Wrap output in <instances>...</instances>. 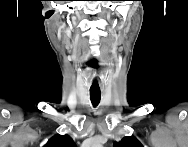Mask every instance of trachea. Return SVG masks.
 Here are the masks:
<instances>
[{
  "label": "trachea",
  "mask_w": 188,
  "mask_h": 147,
  "mask_svg": "<svg viewBox=\"0 0 188 147\" xmlns=\"http://www.w3.org/2000/svg\"><path fill=\"white\" fill-rule=\"evenodd\" d=\"M90 99L93 104V106H97L100 102L101 99V94L100 93H91L90 92Z\"/></svg>",
  "instance_id": "obj_1"
}]
</instances>
